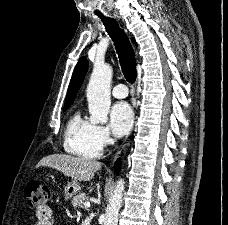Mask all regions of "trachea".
<instances>
[{"label":"trachea","instance_id":"trachea-1","mask_svg":"<svg viewBox=\"0 0 228 225\" xmlns=\"http://www.w3.org/2000/svg\"><path fill=\"white\" fill-rule=\"evenodd\" d=\"M106 30L112 38L119 57L122 72L129 83H134L136 72V58L134 49L126 33L118 27L117 22L110 18L102 19Z\"/></svg>","mask_w":228,"mask_h":225}]
</instances>
